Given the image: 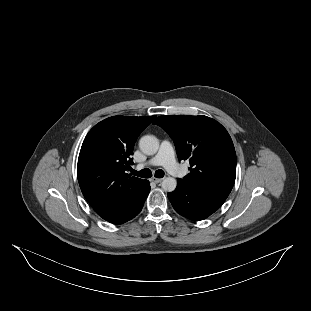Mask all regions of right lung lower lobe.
Returning a JSON list of instances; mask_svg holds the SVG:
<instances>
[{
  "instance_id": "obj_1",
  "label": "right lung lower lobe",
  "mask_w": 311,
  "mask_h": 311,
  "mask_svg": "<svg viewBox=\"0 0 311 311\" xmlns=\"http://www.w3.org/2000/svg\"><path fill=\"white\" fill-rule=\"evenodd\" d=\"M149 192L150 183L149 181H146L142 191L138 194V196H136L135 199L123 211L107 221L113 224H122L134 218L141 211Z\"/></svg>"
}]
</instances>
